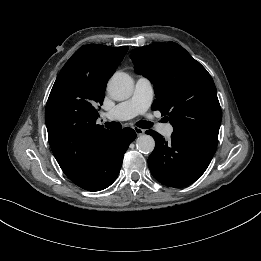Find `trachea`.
Masks as SVG:
<instances>
[{
    "mask_svg": "<svg viewBox=\"0 0 261 261\" xmlns=\"http://www.w3.org/2000/svg\"><path fill=\"white\" fill-rule=\"evenodd\" d=\"M136 125L140 128H143V129H149L151 126H152V123L149 122V121H138L136 123ZM105 126L108 128V129H111V130H119L122 128L121 124L118 123V122H110V123H105Z\"/></svg>",
    "mask_w": 261,
    "mask_h": 261,
    "instance_id": "obj_1",
    "label": "trachea"
}]
</instances>
